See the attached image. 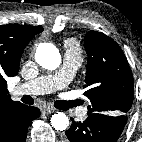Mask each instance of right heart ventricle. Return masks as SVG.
<instances>
[{"mask_svg": "<svg viewBox=\"0 0 142 142\" xmlns=\"http://www.w3.org/2000/svg\"><path fill=\"white\" fill-rule=\"evenodd\" d=\"M65 47L69 52H78L79 51V44L75 39H68L65 42Z\"/></svg>", "mask_w": 142, "mask_h": 142, "instance_id": "1", "label": "right heart ventricle"}]
</instances>
